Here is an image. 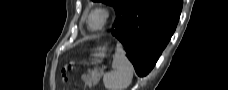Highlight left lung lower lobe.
Wrapping results in <instances>:
<instances>
[{"mask_svg":"<svg viewBox=\"0 0 228 90\" xmlns=\"http://www.w3.org/2000/svg\"><path fill=\"white\" fill-rule=\"evenodd\" d=\"M182 0H130L117 16L112 34L124 45L140 77L146 76L170 40Z\"/></svg>","mask_w":228,"mask_h":90,"instance_id":"obj_1","label":"left lung lower lobe"}]
</instances>
